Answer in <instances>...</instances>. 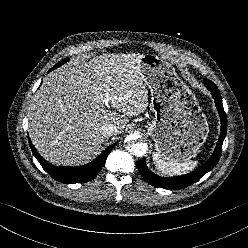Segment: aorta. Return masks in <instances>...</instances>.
Instances as JSON below:
<instances>
[{
  "instance_id": "obj_1",
  "label": "aorta",
  "mask_w": 248,
  "mask_h": 248,
  "mask_svg": "<svg viewBox=\"0 0 248 248\" xmlns=\"http://www.w3.org/2000/svg\"><path fill=\"white\" fill-rule=\"evenodd\" d=\"M138 138L139 135L137 134L129 135L127 138L126 149L130 154L136 157H142L147 152L148 145L146 143L137 142Z\"/></svg>"
}]
</instances>
